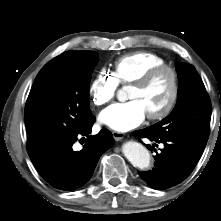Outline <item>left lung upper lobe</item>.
<instances>
[{
    "mask_svg": "<svg viewBox=\"0 0 221 221\" xmlns=\"http://www.w3.org/2000/svg\"><path fill=\"white\" fill-rule=\"evenodd\" d=\"M179 98L174 110L160 122L150 126L161 137H183L207 143L211 119V102L195 68L177 63Z\"/></svg>",
    "mask_w": 221,
    "mask_h": 221,
    "instance_id": "5c2ea615",
    "label": "left lung upper lobe"
}]
</instances>
